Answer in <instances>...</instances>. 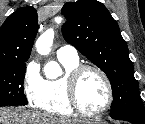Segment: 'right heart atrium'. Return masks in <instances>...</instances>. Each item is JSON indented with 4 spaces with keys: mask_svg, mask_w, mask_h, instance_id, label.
I'll return each instance as SVG.
<instances>
[{
    "mask_svg": "<svg viewBox=\"0 0 145 124\" xmlns=\"http://www.w3.org/2000/svg\"><path fill=\"white\" fill-rule=\"evenodd\" d=\"M44 80L40 75L39 64L31 61L27 64L24 75V94L27 100L36 105L41 97Z\"/></svg>",
    "mask_w": 145,
    "mask_h": 124,
    "instance_id": "obj_1",
    "label": "right heart atrium"
}]
</instances>
